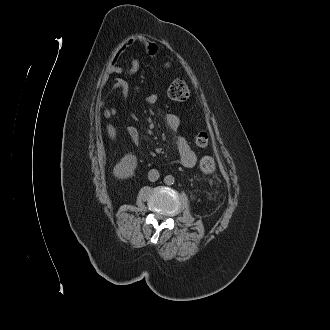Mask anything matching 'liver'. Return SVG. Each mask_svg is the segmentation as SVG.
<instances>
[{
	"instance_id": "1",
	"label": "liver",
	"mask_w": 330,
	"mask_h": 330,
	"mask_svg": "<svg viewBox=\"0 0 330 330\" xmlns=\"http://www.w3.org/2000/svg\"><path fill=\"white\" fill-rule=\"evenodd\" d=\"M107 130H108V133H109L110 138L111 139H115V137H116V130H115V128L111 124H108L107 125Z\"/></svg>"
}]
</instances>
